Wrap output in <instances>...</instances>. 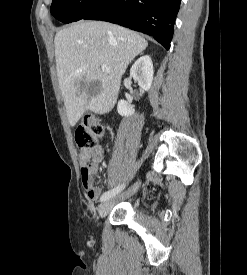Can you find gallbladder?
<instances>
[{
  "mask_svg": "<svg viewBox=\"0 0 247 275\" xmlns=\"http://www.w3.org/2000/svg\"><path fill=\"white\" fill-rule=\"evenodd\" d=\"M84 86V83H81V88ZM92 84L89 86V91L90 93H93V89H92Z\"/></svg>",
  "mask_w": 247,
  "mask_h": 275,
  "instance_id": "obj_1",
  "label": "gallbladder"
}]
</instances>
